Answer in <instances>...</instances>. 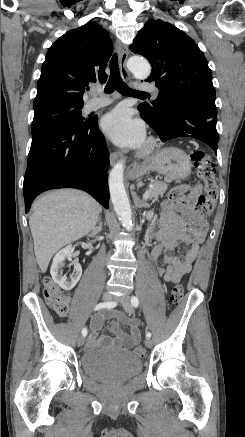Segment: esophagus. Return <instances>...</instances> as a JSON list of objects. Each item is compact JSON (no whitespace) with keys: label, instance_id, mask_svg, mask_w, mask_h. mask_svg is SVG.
Returning a JSON list of instances; mask_svg holds the SVG:
<instances>
[{"label":"esophagus","instance_id":"1","mask_svg":"<svg viewBox=\"0 0 245 437\" xmlns=\"http://www.w3.org/2000/svg\"><path fill=\"white\" fill-rule=\"evenodd\" d=\"M118 49H119V64H120V70L121 75L124 78V80L129 81L130 80V74L126 67V62L128 59V46L122 42H118ZM119 158L118 152H113L110 155V164L114 165Z\"/></svg>","mask_w":245,"mask_h":437}]
</instances>
